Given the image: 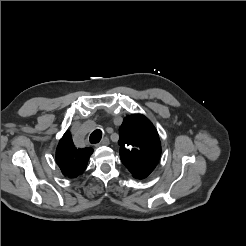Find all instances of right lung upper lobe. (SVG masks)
Wrapping results in <instances>:
<instances>
[{
  "instance_id": "1",
  "label": "right lung upper lobe",
  "mask_w": 246,
  "mask_h": 246,
  "mask_svg": "<svg viewBox=\"0 0 246 246\" xmlns=\"http://www.w3.org/2000/svg\"><path fill=\"white\" fill-rule=\"evenodd\" d=\"M92 153V148L77 149L73 144L71 134L67 131L57 146L56 163L64 176L76 178L85 170Z\"/></svg>"
}]
</instances>
